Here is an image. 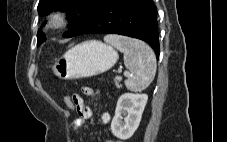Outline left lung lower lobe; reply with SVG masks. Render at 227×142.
<instances>
[{
	"label": "left lung lower lobe",
	"mask_w": 227,
	"mask_h": 142,
	"mask_svg": "<svg viewBox=\"0 0 227 142\" xmlns=\"http://www.w3.org/2000/svg\"><path fill=\"white\" fill-rule=\"evenodd\" d=\"M156 16L157 8L153 0H107L90 21L73 36L106 33L141 39L149 43L158 58L159 38Z\"/></svg>",
	"instance_id": "left-lung-lower-lobe-1"
}]
</instances>
